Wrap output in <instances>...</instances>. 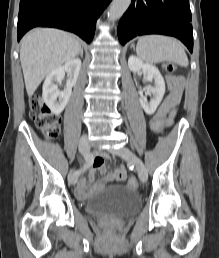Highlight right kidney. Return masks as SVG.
I'll return each mask as SVG.
<instances>
[{"instance_id": "1", "label": "right kidney", "mask_w": 219, "mask_h": 258, "mask_svg": "<svg viewBox=\"0 0 219 258\" xmlns=\"http://www.w3.org/2000/svg\"><path fill=\"white\" fill-rule=\"evenodd\" d=\"M81 69L79 58L66 62L63 66L57 67L48 74L43 84L42 97L45 104L54 114H60L66 107L72 93V87L76 84ZM65 72L70 74L66 87L59 92L56 82L61 81Z\"/></svg>"}]
</instances>
